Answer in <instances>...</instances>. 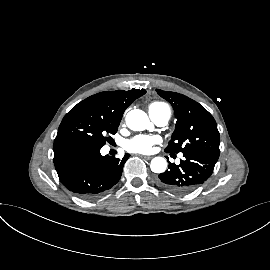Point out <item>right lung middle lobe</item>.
Wrapping results in <instances>:
<instances>
[{
  "label": "right lung middle lobe",
  "instance_id": "right-lung-middle-lobe-1",
  "mask_svg": "<svg viewBox=\"0 0 270 270\" xmlns=\"http://www.w3.org/2000/svg\"><path fill=\"white\" fill-rule=\"evenodd\" d=\"M119 124L99 114L85 99L64 116L54 142L78 141L101 148L111 138L108 135L117 132Z\"/></svg>",
  "mask_w": 270,
  "mask_h": 270
}]
</instances>
